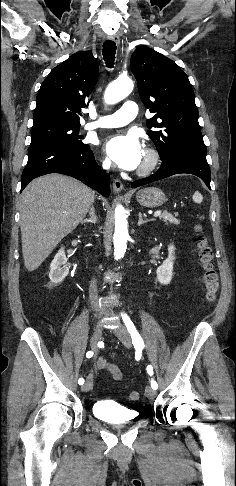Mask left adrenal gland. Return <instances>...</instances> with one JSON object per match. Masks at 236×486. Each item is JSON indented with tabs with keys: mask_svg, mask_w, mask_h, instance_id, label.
Returning a JSON list of instances; mask_svg holds the SVG:
<instances>
[{
	"mask_svg": "<svg viewBox=\"0 0 236 486\" xmlns=\"http://www.w3.org/2000/svg\"><path fill=\"white\" fill-rule=\"evenodd\" d=\"M149 221L150 220H143L142 219V213H139V220H138V223H137L138 226H141V225H143V224H145V223H147Z\"/></svg>",
	"mask_w": 236,
	"mask_h": 486,
	"instance_id": "obj_1",
	"label": "left adrenal gland"
}]
</instances>
